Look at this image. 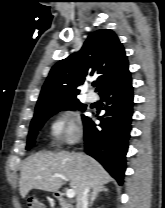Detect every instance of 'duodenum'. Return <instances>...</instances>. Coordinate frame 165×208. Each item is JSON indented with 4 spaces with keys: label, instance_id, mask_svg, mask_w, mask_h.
Wrapping results in <instances>:
<instances>
[{
    "label": "duodenum",
    "instance_id": "410a0bca",
    "mask_svg": "<svg viewBox=\"0 0 165 208\" xmlns=\"http://www.w3.org/2000/svg\"><path fill=\"white\" fill-rule=\"evenodd\" d=\"M55 198L57 199L58 203L64 208H71V204L68 199L65 197L64 194L60 192L55 193Z\"/></svg>",
    "mask_w": 165,
    "mask_h": 208
}]
</instances>
